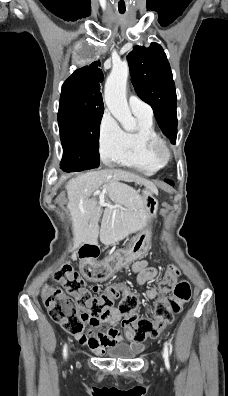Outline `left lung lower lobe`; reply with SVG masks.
<instances>
[{
    "instance_id": "obj_1",
    "label": "left lung lower lobe",
    "mask_w": 228,
    "mask_h": 396,
    "mask_svg": "<svg viewBox=\"0 0 228 396\" xmlns=\"http://www.w3.org/2000/svg\"><path fill=\"white\" fill-rule=\"evenodd\" d=\"M165 182H167L170 185H174V183L171 180H169V179H165Z\"/></svg>"
}]
</instances>
